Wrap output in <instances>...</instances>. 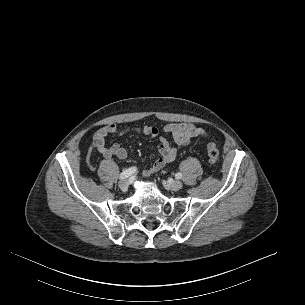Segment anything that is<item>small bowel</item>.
Here are the masks:
<instances>
[{"mask_svg":"<svg viewBox=\"0 0 305 305\" xmlns=\"http://www.w3.org/2000/svg\"><path fill=\"white\" fill-rule=\"evenodd\" d=\"M131 132L158 139L157 150L159 156L151 168L143 172L145 177L153 175L174 161L178 154V148L188 145L191 139L207 136L205 129L193 123H169L161 129L149 124L127 126L121 129L115 124H108L97 130L94 135V145L105 158L117 157L119 159H125L127 157V150L120 143L107 146L106 139L112 134L125 135ZM161 133L170 134L178 145V148L172 146L168 139L161 135Z\"/></svg>","mask_w":305,"mask_h":305,"instance_id":"c3829d8e","label":"small bowel"}]
</instances>
